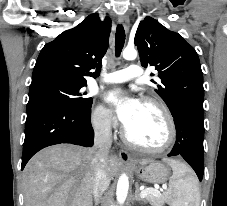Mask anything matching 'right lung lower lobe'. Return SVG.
I'll use <instances>...</instances> for the list:
<instances>
[{"label":"right lung lower lobe","mask_w":227,"mask_h":206,"mask_svg":"<svg viewBox=\"0 0 227 206\" xmlns=\"http://www.w3.org/2000/svg\"><path fill=\"white\" fill-rule=\"evenodd\" d=\"M91 105L84 109L44 105L27 111L21 169L39 150L60 143L92 146Z\"/></svg>","instance_id":"98d812e1"}]
</instances>
